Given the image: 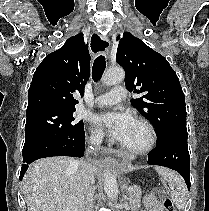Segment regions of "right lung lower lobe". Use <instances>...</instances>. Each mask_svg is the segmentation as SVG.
Instances as JSON below:
<instances>
[{"instance_id":"obj_1","label":"right lung lower lobe","mask_w":209,"mask_h":211,"mask_svg":"<svg viewBox=\"0 0 209 211\" xmlns=\"http://www.w3.org/2000/svg\"><path fill=\"white\" fill-rule=\"evenodd\" d=\"M85 148V133L78 138H68L54 140L46 143L25 156H23V164L20 172V180H22L24 173L28 169V164L39 158L51 157V156H72L82 157Z\"/></svg>"}]
</instances>
